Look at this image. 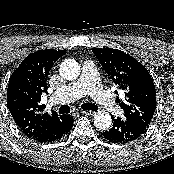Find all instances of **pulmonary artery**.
I'll return each instance as SVG.
<instances>
[{
	"label": "pulmonary artery",
	"instance_id": "e3ab8cb5",
	"mask_svg": "<svg viewBox=\"0 0 174 174\" xmlns=\"http://www.w3.org/2000/svg\"><path fill=\"white\" fill-rule=\"evenodd\" d=\"M87 94L107 111L114 114L120 113V109L115 104L110 93L103 88L99 74L92 61L84 62L80 78L59 88L53 94L51 100L57 104H66Z\"/></svg>",
	"mask_w": 174,
	"mask_h": 174
}]
</instances>
